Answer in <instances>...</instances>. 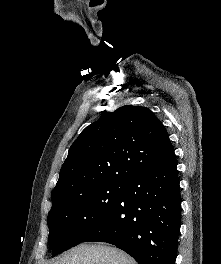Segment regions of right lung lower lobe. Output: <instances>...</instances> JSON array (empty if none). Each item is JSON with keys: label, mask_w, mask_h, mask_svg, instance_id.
I'll return each mask as SVG.
<instances>
[{"label": "right lung lower lobe", "mask_w": 221, "mask_h": 264, "mask_svg": "<svg viewBox=\"0 0 221 264\" xmlns=\"http://www.w3.org/2000/svg\"><path fill=\"white\" fill-rule=\"evenodd\" d=\"M111 212L82 242H106L139 264H175L180 187L175 156L131 176Z\"/></svg>", "instance_id": "obj_1"}]
</instances>
